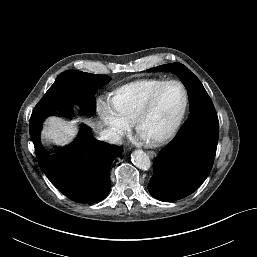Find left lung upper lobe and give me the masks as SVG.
Wrapping results in <instances>:
<instances>
[{
	"instance_id": "obj_1",
	"label": "left lung upper lobe",
	"mask_w": 257,
	"mask_h": 257,
	"mask_svg": "<svg viewBox=\"0 0 257 257\" xmlns=\"http://www.w3.org/2000/svg\"><path fill=\"white\" fill-rule=\"evenodd\" d=\"M173 70L183 79L189 89L190 114L187 121L181 127L172 141L194 137L204 128L217 129L219 122L213 103L198 78L184 65L180 63L165 64L148 71Z\"/></svg>"
}]
</instances>
